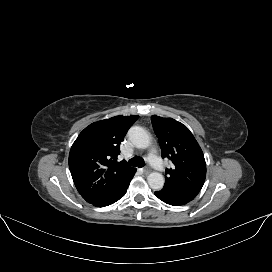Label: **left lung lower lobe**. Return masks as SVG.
<instances>
[{"label": "left lung lower lobe", "mask_w": 272, "mask_h": 272, "mask_svg": "<svg viewBox=\"0 0 272 272\" xmlns=\"http://www.w3.org/2000/svg\"><path fill=\"white\" fill-rule=\"evenodd\" d=\"M198 193L199 190H187L164 187L162 190L156 191L155 195L160 200L169 205L180 206L193 200Z\"/></svg>", "instance_id": "obj_1"}]
</instances>
